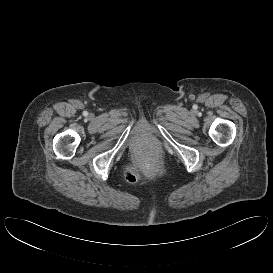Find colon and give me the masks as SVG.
I'll return each instance as SVG.
<instances>
[{
	"label": "colon",
	"instance_id": "colon-1",
	"mask_svg": "<svg viewBox=\"0 0 273 273\" xmlns=\"http://www.w3.org/2000/svg\"><path fill=\"white\" fill-rule=\"evenodd\" d=\"M126 179L130 182H135L137 180V177L132 171H127L126 172Z\"/></svg>",
	"mask_w": 273,
	"mask_h": 273
}]
</instances>
